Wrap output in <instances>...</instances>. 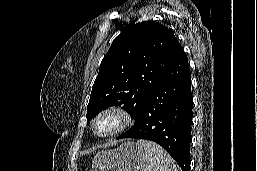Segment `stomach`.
Here are the masks:
<instances>
[{"mask_svg":"<svg viewBox=\"0 0 257 171\" xmlns=\"http://www.w3.org/2000/svg\"><path fill=\"white\" fill-rule=\"evenodd\" d=\"M143 148L134 142H125L113 150L99 152L93 159L92 171H140Z\"/></svg>","mask_w":257,"mask_h":171,"instance_id":"stomach-1","label":"stomach"}]
</instances>
